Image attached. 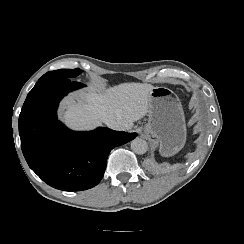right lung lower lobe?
<instances>
[{
    "label": "right lung lower lobe",
    "instance_id": "1",
    "mask_svg": "<svg viewBox=\"0 0 244 244\" xmlns=\"http://www.w3.org/2000/svg\"><path fill=\"white\" fill-rule=\"evenodd\" d=\"M83 86L69 78L38 81L19 116L21 148L29 167L48 185L64 191L97 185L110 151L137 135L108 128L73 132L58 121L59 101Z\"/></svg>",
    "mask_w": 244,
    "mask_h": 244
}]
</instances>
